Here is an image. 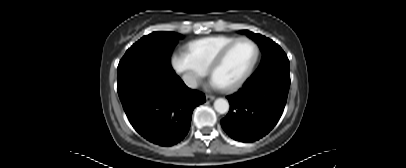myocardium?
<instances>
[{"mask_svg":"<svg viewBox=\"0 0 406 168\" xmlns=\"http://www.w3.org/2000/svg\"><path fill=\"white\" fill-rule=\"evenodd\" d=\"M240 42L250 43L254 48V56H253L252 61L246 68V70L241 74V76L237 80H235L234 82H232L226 86L221 87V89L226 92H231V91H234V90L238 89L239 87H241L244 84V82L248 79V77L251 75V73L258 61L259 54H260V50H259V47L256 44V42L248 37H239V38L234 39L232 42L227 44L217 53V55L214 57V59L212 60L210 66L208 68V74L210 75L211 78H213L215 71L221 66V64L223 63L227 54L236 44H238Z\"/></svg>","mask_w":406,"mask_h":168,"instance_id":"f54148a6","label":"myocardium"}]
</instances>
